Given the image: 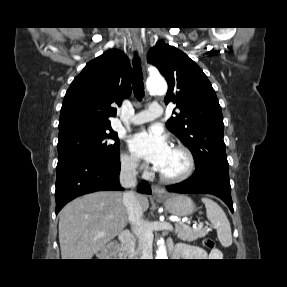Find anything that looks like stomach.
<instances>
[{"label": "stomach", "instance_id": "0dacf381", "mask_svg": "<svg viewBox=\"0 0 287 287\" xmlns=\"http://www.w3.org/2000/svg\"><path fill=\"white\" fill-rule=\"evenodd\" d=\"M165 208L173 215L185 217L191 215L195 210L192 199L181 194H166L159 197Z\"/></svg>", "mask_w": 287, "mask_h": 287}]
</instances>
